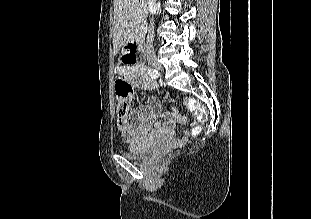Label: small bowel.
<instances>
[{"label": "small bowel", "mask_w": 311, "mask_h": 219, "mask_svg": "<svg viewBox=\"0 0 311 219\" xmlns=\"http://www.w3.org/2000/svg\"><path fill=\"white\" fill-rule=\"evenodd\" d=\"M117 73L125 75L134 88L154 90L157 82L148 75L141 65L131 67L118 66ZM187 118L180 114L163 113L157 97L151 95L147 103L139 110L117 118V127L125 142L132 143L146 137L162 139L175 138V124H185Z\"/></svg>", "instance_id": "small-bowel-1"}]
</instances>
